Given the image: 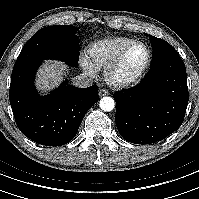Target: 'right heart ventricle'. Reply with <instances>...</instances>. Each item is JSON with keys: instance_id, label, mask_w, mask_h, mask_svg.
<instances>
[{"instance_id": "obj_1", "label": "right heart ventricle", "mask_w": 199, "mask_h": 199, "mask_svg": "<svg viewBox=\"0 0 199 199\" xmlns=\"http://www.w3.org/2000/svg\"><path fill=\"white\" fill-rule=\"evenodd\" d=\"M133 42L135 40L132 38L120 36L95 41L88 48L89 59L97 69H105L125 47Z\"/></svg>"}]
</instances>
